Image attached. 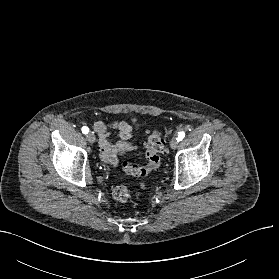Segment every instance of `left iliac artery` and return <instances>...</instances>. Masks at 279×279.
I'll list each match as a JSON object with an SVG mask.
<instances>
[{"mask_svg": "<svg viewBox=\"0 0 279 279\" xmlns=\"http://www.w3.org/2000/svg\"><path fill=\"white\" fill-rule=\"evenodd\" d=\"M185 137V133L183 131L179 132L177 141H181Z\"/></svg>", "mask_w": 279, "mask_h": 279, "instance_id": "44dca946", "label": "left iliac artery"}]
</instances>
